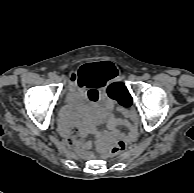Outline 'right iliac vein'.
Here are the masks:
<instances>
[{
    "mask_svg": "<svg viewBox=\"0 0 194 193\" xmlns=\"http://www.w3.org/2000/svg\"><path fill=\"white\" fill-rule=\"evenodd\" d=\"M53 80L55 81V82H60V76H58V75H55L54 77H53Z\"/></svg>",
    "mask_w": 194,
    "mask_h": 193,
    "instance_id": "63e3f726",
    "label": "right iliac vein"
}]
</instances>
